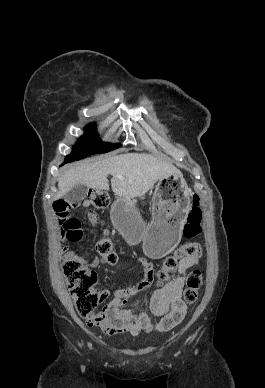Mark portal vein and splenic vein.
<instances>
[{
	"label": "portal vein and splenic vein",
	"mask_w": 265,
	"mask_h": 388,
	"mask_svg": "<svg viewBox=\"0 0 265 388\" xmlns=\"http://www.w3.org/2000/svg\"><path fill=\"white\" fill-rule=\"evenodd\" d=\"M117 178H120V180H125V178H123V176H117Z\"/></svg>",
	"instance_id": "portal-vein-and-splenic-vein-1"
}]
</instances>
